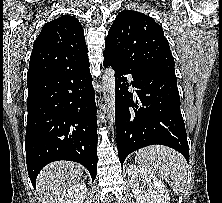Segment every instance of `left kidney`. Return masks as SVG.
<instances>
[{"mask_svg":"<svg viewBox=\"0 0 222 203\" xmlns=\"http://www.w3.org/2000/svg\"><path fill=\"white\" fill-rule=\"evenodd\" d=\"M126 173L136 203H170L168 190L153 173L135 164Z\"/></svg>","mask_w":222,"mask_h":203,"instance_id":"left-kidney-1","label":"left kidney"}]
</instances>
